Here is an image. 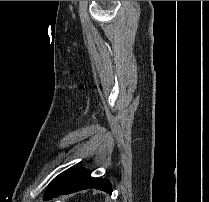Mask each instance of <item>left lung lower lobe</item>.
Masks as SVG:
<instances>
[{
    "label": "left lung lower lobe",
    "mask_w": 209,
    "mask_h": 202,
    "mask_svg": "<svg viewBox=\"0 0 209 202\" xmlns=\"http://www.w3.org/2000/svg\"><path fill=\"white\" fill-rule=\"evenodd\" d=\"M89 188L99 189L108 194L112 193L111 184L108 180L91 177L90 172L86 169L74 168L61 173L51 181L45 192L44 199L48 200L60 194Z\"/></svg>",
    "instance_id": "0a47b994"
}]
</instances>
